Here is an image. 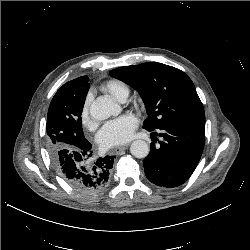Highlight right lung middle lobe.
<instances>
[{
    "label": "right lung middle lobe",
    "instance_id": "1",
    "mask_svg": "<svg viewBox=\"0 0 250 250\" xmlns=\"http://www.w3.org/2000/svg\"><path fill=\"white\" fill-rule=\"evenodd\" d=\"M89 78L79 77L72 84L61 86L53 97L47 116V146L50 154L61 149L74 150L88 143L81 114L89 90Z\"/></svg>",
    "mask_w": 250,
    "mask_h": 250
}]
</instances>
